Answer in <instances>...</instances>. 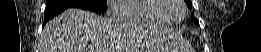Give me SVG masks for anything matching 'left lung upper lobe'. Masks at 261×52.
Returning a JSON list of instances; mask_svg holds the SVG:
<instances>
[{
    "instance_id": "1",
    "label": "left lung upper lobe",
    "mask_w": 261,
    "mask_h": 52,
    "mask_svg": "<svg viewBox=\"0 0 261 52\" xmlns=\"http://www.w3.org/2000/svg\"><path fill=\"white\" fill-rule=\"evenodd\" d=\"M185 2L187 3V6L192 8V3L191 0H185ZM192 19L194 20L195 23L199 24V22L197 21V19L194 17L193 13H192Z\"/></svg>"
}]
</instances>
